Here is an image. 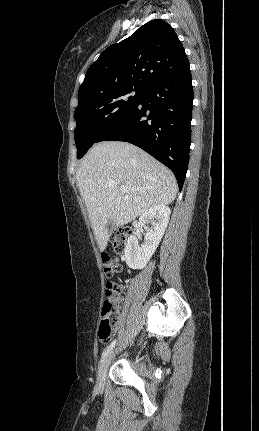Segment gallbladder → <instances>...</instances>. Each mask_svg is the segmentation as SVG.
<instances>
[{
	"label": "gallbladder",
	"instance_id": "bac80fb5",
	"mask_svg": "<svg viewBox=\"0 0 259 431\" xmlns=\"http://www.w3.org/2000/svg\"><path fill=\"white\" fill-rule=\"evenodd\" d=\"M107 228L109 230V233H112L115 230V225L113 224V222L111 220L108 221Z\"/></svg>",
	"mask_w": 259,
	"mask_h": 431
}]
</instances>
